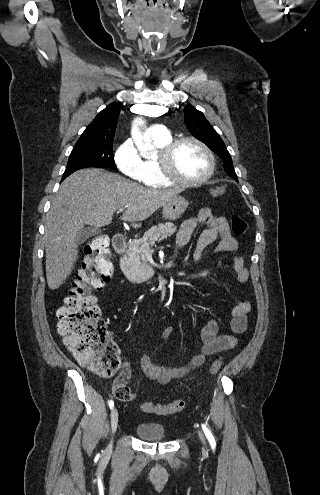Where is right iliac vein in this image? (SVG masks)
I'll use <instances>...</instances> for the list:
<instances>
[{
    "instance_id": "63e3f726",
    "label": "right iliac vein",
    "mask_w": 320,
    "mask_h": 495,
    "mask_svg": "<svg viewBox=\"0 0 320 495\" xmlns=\"http://www.w3.org/2000/svg\"><path fill=\"white\" fill-rule=\"evenodd\" d=\"M117 426H118V411L116 408H114L111 413L112 434H114L117 431ZM111 450H112V442L108 445L107 452H111Z\"/></svg>"
}]
</instances>
